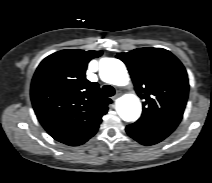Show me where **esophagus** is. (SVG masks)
<instances>
[{"instance_id": "obj_1", "label": "esophagus", "mask_w": 212, "mask_h": 183, "mask_svg": "<svg viewBox=\"0 0 212 183\" xmlns=\"http://www.w3.org/2000/svg\"><path fill=\"white\" fill-rule=\"evenodd\" d=\"M121 94L122 92L118 90L116 94L112 97V100L115 101Z\"/></svg>"}]
</instances>
